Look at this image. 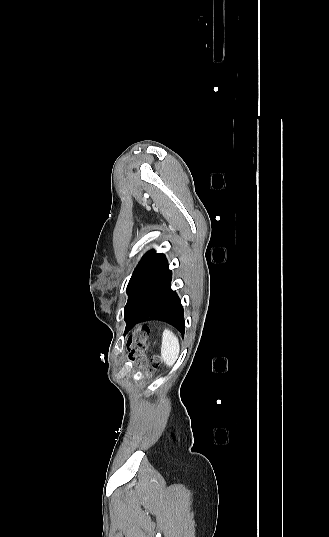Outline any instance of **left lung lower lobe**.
Returning a JSON list of instances; mask_svg holds the SVG:
<instances>
[{
  "label": "left lung lower lobe",
  "instance_id": "left-lung-lower-lobe-1",
  "mask_svg": "<svg viewBox=\"0 0 329 537\" xmlns=\"http://www.w3.org/2000/svg\"><path fill=\"white\" fill-rule=\"evenodd\" d=\"M171 277L167 266L150 283L139 302L125 315V334L137 324L154 320L169 323L184 334V310L176 292L171 289Z\"/></svg>",
  "mask_w": 329,
  "mask_h": 537
}]
</instances>
